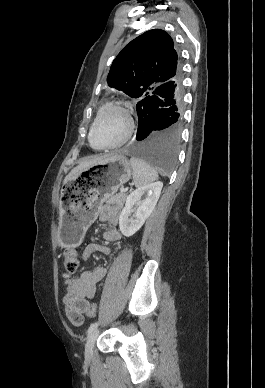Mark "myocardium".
<instances>
[{
	"mask_svg": "<svg viewBox=\"0 0 265 388\" xmlns=\"http://www.w3.org/2000/svg\"><path fill=\"white\" fill-rule=\"evenodd\" d=\"M109 111H117V112H119V113L124 115V117L126 119V130H125L124 134L122 135V137L119 139V141L116 142L115 144L101 146V145H98L95 142V140H94V132H95V128H96L97 124L99 123V121L101 120V118ZM133 128H134V121H133V118H132V115H131L130 111L126 107H123V106H120V105H116V104H111V105L106 106L99 113V115L95 119L94 123L92 124V127H91V130L89 132V137L88 138H89L90 143L94 147H97V148H100V149H114V148L121 147L122 145H124L130 139L131 133L133 131Z\"/></svg>",
	"mask_w": 265,
	"mask_h": 388,
	"instance_id": "myocardium-1",
	"label": "myocardium"
}]
</instances>
